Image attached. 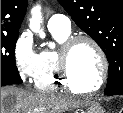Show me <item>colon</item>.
Listing matches in <instances>:
<instances>
[{"label":"colon","mask_w":123,"mask_h":113,"mask_svg":"<svg viewBox=\"0 0 123 113\" xmlns=\"http://www.w3.org/2000/svg\"><path fill=\"white\" fill-rule=\"evenodd\" d=\"M120 113H123V107L120 109Z\"/></svg>","instance_id":"5ec220e1"}]
</instances>
